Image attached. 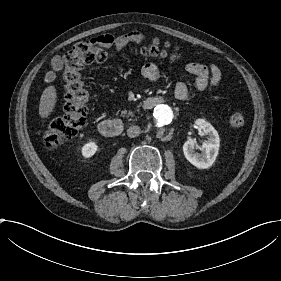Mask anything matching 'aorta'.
<instances>
[{
  "instance_id": "1",
  "label": "aorta",
  "mask_w": 281,
  "mask_h": 281,
  "mask_svg": "<svg viewBox=\"0 0 281 281\" xmlns=\"http://www.w3.org/2000/svg\"><path fill=\"white\" fill-rule=\"evenodd\" d=\"M153 115L156 126L158 127L170 124L174 117L172 109L165 104L157 105Z\"/></svg>"
}]
</instances>
